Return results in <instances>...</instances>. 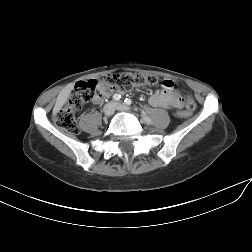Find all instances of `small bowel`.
Returning a JSON list of instances; mask_svg holds the SVG:
<instances>
[{
	"label": "small bowel",
	"mask_w": 252,
	"mask_h": 252,
	"mask_svg": "<svg viewBox=\"0 0 252 252\" xmlns=\"http://www.w3.org/2000/svg\"><path fill=\"white\" fill-rule=\"evenodd\" d=\"M170 81L171 80H164V82ZM164 89L161 91H157L153 93L149 97V103L150 105L154 107H160V108H175V109H181L184 106V101L182 97L176 92L174 89V85L167 87L164 84H162ZM99 93L97 96L93 99V103L99 104L103 102V100L107 97H109L112 93L113 90L108 89L104 87L103 85H99Z\"/></svg>",
	"instance_id": "small-bowel-1"
}]
</instances>
